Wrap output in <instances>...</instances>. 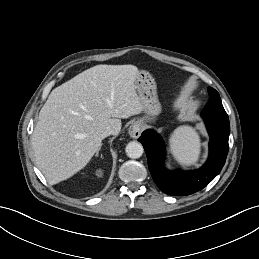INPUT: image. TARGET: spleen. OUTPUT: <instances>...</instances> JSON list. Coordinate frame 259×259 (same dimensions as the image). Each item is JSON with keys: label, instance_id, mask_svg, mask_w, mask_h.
<instances>
[{"label": "spleen", "instance_id": "3e777b00", "mask_svg": "<svg viewBox=\"0 0 259 259\" xmlns=\"http://www.w3.org/2000/svg\"><path fill=\"white\" fill-rule=\"evenodd\" d=\"M170 151L181 165L195 164L200 156L201 141L195 129L188 125L177 127L169 137Z\"/></svg>", "mask_w": 259, "mask_h": 259}]
</instances>
